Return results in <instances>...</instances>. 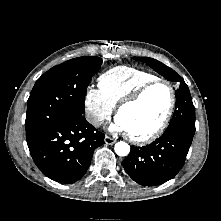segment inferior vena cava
<instances>
[{
  "label": "inferior vena cava",
  "instance_id": "1",
  "mask_svg": "<svg viewBox=\"0 0 221 221\" xmlns=\"http://www.w3.org/2000/svg\"><path fill=\"white\" fill-rule=\"evenodd\" d=\"M89 121L94 125V126H101L103 121L97 117H90Z\"/></svg>",
  "mask_w": 221,
  "mask_h": 221
}]
</instances>
